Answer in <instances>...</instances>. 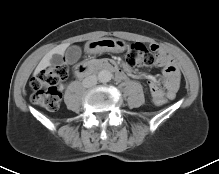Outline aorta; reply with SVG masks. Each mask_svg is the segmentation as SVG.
<instances>
[{
	"label": "aorta",
	"instance_id": "762f6f07",
	"mask_svg": "<svg viewBox=\"0 0 219 174\" xmlns=\"http://www.w3.org/2000/svg\"><path fill=\"white\" fill-rule=\"evenodd\" d=\"M112 78V73L109 70H101L98 73V80L102 83L109 82Z\"/></svg>",
	"mask_w": 219,
	"mask_h": 174
}]
</instances>
